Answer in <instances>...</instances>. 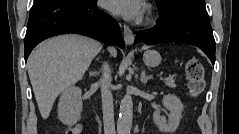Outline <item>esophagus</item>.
Here are the masks:
<instances>
[{"instance_id":"1","label":"esophagus","mask_w":239,"mask_h":134,"mask_svg":"<svg viewBox=\"0 0 239 134\" xmlns=\"http://www.w3.org/2000/svg\"><path fill=\"white\" fill-rule=\"evenodd\" d=\"M123 36L124 41L127 45H132L134 43V34L132 30L126 25L123 26Z\"/></svg>"}]
</instances>
